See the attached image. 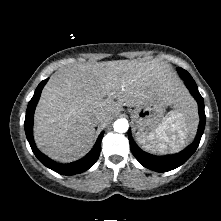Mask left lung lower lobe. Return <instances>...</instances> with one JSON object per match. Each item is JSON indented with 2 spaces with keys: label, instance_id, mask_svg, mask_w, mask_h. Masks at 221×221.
<instances>
[{
  "label": "left lung lower lobe",
  "instance_id": "1",
  "mask_svg": "<svg viewBox=\"0 0 221 221\" xmlns=\"http://www.w3.org/2000/svg\"><path fill=\"white\" fill-rule=\"evenodd\" d=\"M178 72L198 103L200 122L194 142L178 154L154 156L142 151L133 141L130 130L128 131V138L133 155L144 167L156 172L170 171L184 164L197 149L205 128L206 116L204 111V101L198 91V87L191 75L186 74L184 69L178 68Z\"/></svg>",
  "mask_w": 221,
  "mask_h": 221
}]
</instances>
